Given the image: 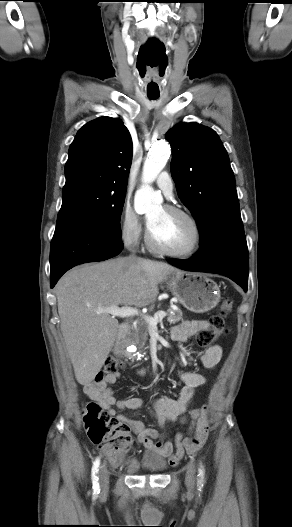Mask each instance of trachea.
<instances>
[{
    "label": "trachea",
    "instance_id": "1",
    "mask_svg": "<svg viewBox=\"0 0 292 527\" xmlns=\"http://www.w3.org/2000/svg\"><path fill=\"white\" fill-rule=\"evenodd\" d=\"M148 97H149L150 99H156V98L159 97V95H152V94H149Z\"/></svg>",
    "mask_w": 292,
    "mask_h": 527
}]
</instances>
